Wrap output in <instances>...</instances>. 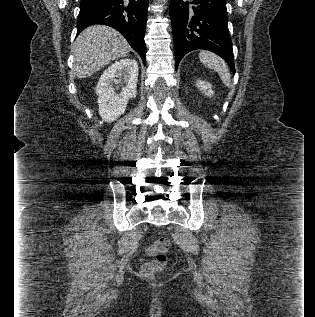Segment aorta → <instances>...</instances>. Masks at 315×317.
<instances>
[{"instance_id": "762f6f07", "label": "aorta", "mask_w": 315, "mask_h": 317, "mask_svg": "<svg viewBox=\"0 0 315 317\" xmlns=\"http://www.w3.org/2000/svg\"><path fill=\"white\" fill-rule=\"evenodd\" d=\"M161 1L165 3L167 0H161Z\"/></svg>"}]
</instances>
